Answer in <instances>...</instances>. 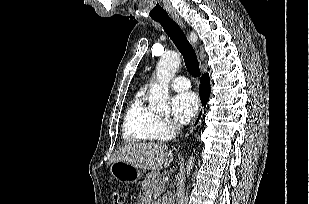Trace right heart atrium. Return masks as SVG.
I'll use <instances>...</instances> for the list:
<instances>
[{
	"mask_svg": "<svg viewBox=\"0 0 309 204\" xmlns=\"http://www.w3.org/2000/svg\"><path fill=\"white\" fill-rule=\"evenodd\" d=\"M178 130V125L170 118L158 117L154 126V135L156 139L168 140L172 138Z\"/></svg>",
	"mask_w": 309,
	"mask_h": 204,
	"instance_id": "obj_1",
	"label": "right heart atrium"
}]
</instances>
